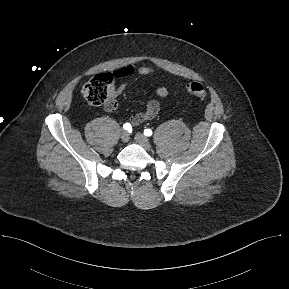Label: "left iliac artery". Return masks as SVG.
<instances>
[{"label":"left iliac artery","instance_id":"obj_1","mask_svg":"<svg viewBox=\"0 0 289 289\" xmlns=\"http://www.w3.org/2000/svg\"><path fill=\"white\" fill-rule=\"evenodd\" d=\"M144 135L145 136H151L152 135V130L151 129H145L144 130Z\"/></svg>","mask_w":289,"mask_h":289}]
</instances>
